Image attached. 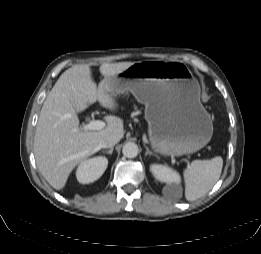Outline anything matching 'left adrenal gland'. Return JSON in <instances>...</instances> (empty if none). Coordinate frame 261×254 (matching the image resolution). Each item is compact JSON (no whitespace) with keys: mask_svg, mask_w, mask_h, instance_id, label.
<instances>
[{"mask_svg":"<svg viewBox=\"0 0 261 254\" xmlns=\"http://www.w3.org/2000/svg\"><path fill=\"white\" fill-rule=\"evenodd\" d=\"M145 148H146L145 156H147V155H154V156H156L155 154H153V153L149 150V148H148L147 146H145Z\"/></svg>","mask_w":261,"mask_h":254,"instance_id":"a2214340","label":"left adrenal gland"}]
</instances>
